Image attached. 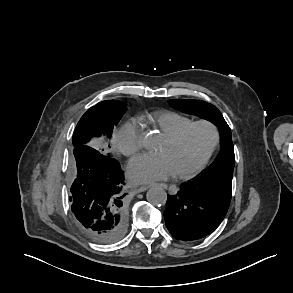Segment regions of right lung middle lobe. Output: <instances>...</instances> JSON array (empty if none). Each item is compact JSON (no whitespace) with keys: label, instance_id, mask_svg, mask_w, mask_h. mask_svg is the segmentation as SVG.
Listing matches in <instances>:
<instances>
[{"label":"right lung middle lobe","instance_id":"1","mask_svg":"<svg viewBox=\"0 0 293 293\" xmlns=\"http://www.w3.org/2000/svg\"><path fill=\"white\" fill-rule=\"evenodd\" d=\"M125 110V105L116 100L102 101L91 107L74 130L73 146L88 145L91 138L102 134L111 136L114 126L118 124Z\"/></svg>","mask_w":293,"mask_h":293}]
</instances>
